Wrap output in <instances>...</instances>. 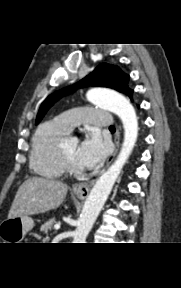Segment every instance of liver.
I'll return each instance as SVG.
<instances>
[{
    "label": "liver",
    "instance_id": "1",
    "mask_svg": "<svg viewBox=\"0 0 181 288\" xmlns=\"http://www.w3.org/2000/svg\"><path fill=\"white\" fill-rule=\"evenodd\" d=\"M68 191V186L57 180L31 177L19 187L8 217L29 216L45 213L59 207Z\"/></svg>",
    "mask_w": 181,
    "mask_h": 288
}]
</instances>
